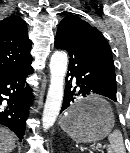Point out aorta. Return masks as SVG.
<instances>
[{
    "label": "aorta",
    "mask_w": 130,
    "mask_h": 153,
    "mask_svg": "<svg viewBox=\"0 0 130 153\" xmlns=\"http://www.w3.org/2000/svg\"><path fill=\"white\" fill-rule=\"evenodd\" d=\"M68 65L67 54L56 51L50 59V86L42 115L43 128L49 129L59 115L63 100V85Z\"/></svg>",
    "instance_id": "obj_1"
}]
</instances>
